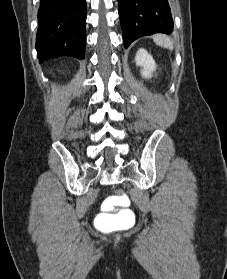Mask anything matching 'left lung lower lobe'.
I'll list each match as a JSON object with an SVG mask.
<instances>
[{"mask_svg":"<svg viewBox=\"0 0 227 279\" xmlns=\"http://www.w3.org/2000/svg\"><path fill=\"white\" fill-rule=\"evenodd\" d=\"M118 6L125 48L139 37L173 31L167 0H118Z\"/></svg>","mask_w":227,"mask_h":279,"instance_id":"left-lung-lower-lobe-1","label":"left lung lower lobe"}]
</instances>
